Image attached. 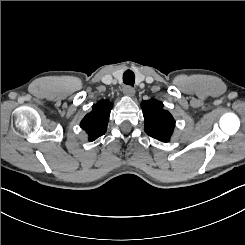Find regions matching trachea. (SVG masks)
Instances as JSON below:
<instances>
[{"label": "trachea", "instance_id": "1", "mask_svg": "<svg viewBox=\"0 0 245 245\" xmlns=\"http://www.w3.org/2000/svg\"><path fill=\"white\" fill-rule=\"evenodd\" d=\"M124 84L130 87H134L135 75L131 70H126L123 74Z\"/></svg>", "mask_w": 245, "mask_h": 245}]
</instances>
